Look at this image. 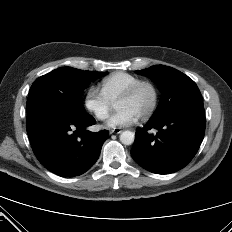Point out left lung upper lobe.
Instances as JSON below:
<instances>
[{"label": "left lung upper lobe", "instance_id": "left-lung-upper-lobe-1", "mask_svg": "<svg viewBox=\"0 0 232 232\" xmlns=\"http://www.w3.org/2000/svg\"><path fill=\"white\" fill-rule=\"evenodd\" d=\"M137 74L150 77L157 83L163 93L159 105L151 118H159L171 109L201 98L196 83L184 73L165 65H154L150 68L136 71Z\"/></svg>", "mask_w": 232, "mask_h": 232}]
</instances>
